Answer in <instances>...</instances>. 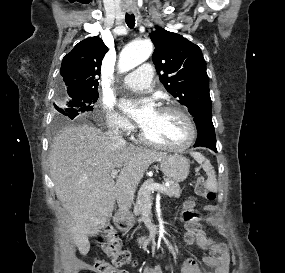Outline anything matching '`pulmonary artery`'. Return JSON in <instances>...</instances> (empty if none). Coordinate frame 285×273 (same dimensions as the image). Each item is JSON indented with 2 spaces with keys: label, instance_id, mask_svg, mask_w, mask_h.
<instances>
[{
  "label": "pulmonary artery",
  "instance_id": "obj_1",
  "mask_svg": "<svg viewBox=\"0 0 285 273\" xmlns=\"http://www.w3.org/2000/svg\"><path fill=\"white\" fill-rule=\"evenodd\" d=\"M154 69L149 63L140 65L137 69L127 74L123 80L124 85L134 90L149 88L152 84Z\"/></svg>",
  "mask_w": 285,
  "mask_h": 273
}]
</instances>
